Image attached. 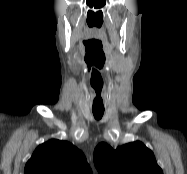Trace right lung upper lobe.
Here are the masks:
<instances>
[{
  "label": "right lung upper lobe",
  "instance_id": "1",
  "mask_svg": "<svg viewBox=\"0 0 187 174\" xmlns=\"http://www.w3.org/2000/svg\"><path fill=\"white\" fill-rule=\"evenodd\" d=\"M24 174H92L86 157L67 141L50 140L38 146Z\"/></svg>",
  "mask_w": 187,
  "mask_h": 174
}]
</instances>
